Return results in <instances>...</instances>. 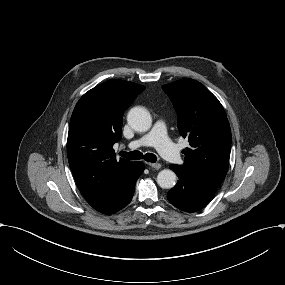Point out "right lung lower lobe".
Listing matches in <instances>:
<instances>
[{"label": "right lung lower lobe", "instance_id": "98d812e1", "mask_svg": "<svg viewBox=\"0 0 285 285\" xmlns=\"http://www.w3.org/2000/svg\"><path fill=\"white\" fill-rule=\"evenodd\" d=\"M144 171V164L137 161L121 181L113 199L97 211L103 214H113L127 206L134 194L135 183Z\"/></svg>", "mask_w": 285, "mask_h": 285}]
</instances>
